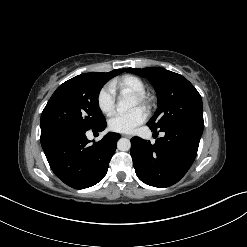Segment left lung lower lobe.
<instances>
[{
  "label": "left lung lower lobe",
  "instance_id": "left-lung-lower-lobe-1",
  "mask_svg": "<svg viewBox=\"0 0 247 247\" xmlns=\"http://www.w3.org/2000/svg\"><path fill=\"white\" fill-rule=\"evenodd\" d=\"M150 129L153 132H164L165 136L156 139L155 144L139 137L131 139V156L136 175L150 186H171L186 174L194 162L203 128L177 122L168 127Z\"/></svg>",
  "mask_w": 247,
  "mask_h": 247
}]
</instances>
